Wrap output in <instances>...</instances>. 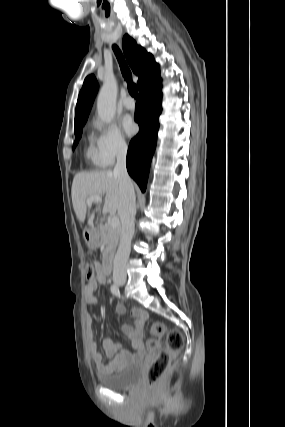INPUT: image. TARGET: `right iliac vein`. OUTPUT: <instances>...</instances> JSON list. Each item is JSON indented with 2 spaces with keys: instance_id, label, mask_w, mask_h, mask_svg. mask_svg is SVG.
<instances>
[{
  "instance_id": "1",
  "label": "right iliac vein",
  "mask_w": 285,
  "mask_h": 427,
  "mask_svg": "<svg viewBox=\"0 0 285 427\" xmlns=\"http://www.w3.org/2000/svg\"><path fill=\"white\" fill-rule=\"evenodd\" d=\"M114 282H115V284H116V285H118V286H123V285H125L126 280H125V279H121V278H115V279H114Z\"/></svg>"
}]
</instances>
